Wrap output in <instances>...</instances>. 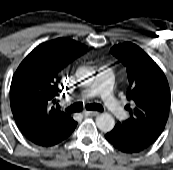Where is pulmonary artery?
Masks as SVG:
<instances>
[{"instance_id":"pulmonary-artery-1","label":"pulmonary artery","mask_w":173,"mask_h":170,"mask_svg":"<svg viewBox=\"0 0 173 170\" xmlns=\"http://www.w3.org/2000/svg\"><path fill=\"white\" fill-rule=\"evenodd\" d=\"M113 80L114 75L110 69H101L92 86L81 91L78 96L82 99L100 96L110 113L117 119H122L125 116V111L119 101L112 96Z\"/></svg>"}]
</instances>
